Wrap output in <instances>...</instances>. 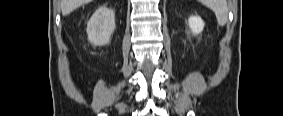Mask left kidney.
Returning a JSON list of instances; mask_svg holds the SVG:
<instances>
[{
	"mask_svg": "<svg viewBox=\"0 0 283 116\" xmlns=\"http://www.w3.org/2000/svg\"><path fill=\"white\" fill-rule=\"evenodd\" d=\"M188 23L193 34L201 33L205 25L199 16H191L188 20Z\"/></svg>",
	"mask_w": 283,
	"mask_h": 116,
	"instance_id": "1",
	"label": "left kidney"
}]
</instances>
